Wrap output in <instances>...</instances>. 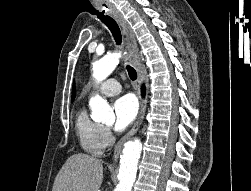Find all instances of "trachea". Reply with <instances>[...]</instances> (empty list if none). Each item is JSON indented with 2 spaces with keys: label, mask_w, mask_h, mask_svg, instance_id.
<instances>
[{
  "label": "trachea",
  "mask_w": 251,
  "mask_h": 191,
  "mask_svg": "<svg viewBox=\"0 0 251 191\" xmlns=\"http://www.w3.org/2000/svg\"><path fill=\"white\" fill-rule=\"evenodd\" d=\"M98 18L109 28V30L111 31L114 37L116 44L120 46L122 42V35L120 32V28L115 22V20H113V18L109 17L108 15H98ZM126 69H127L130 79L133 81L136 80L137 79L136 70L132 66H126Z\"/></svg>",
  "instance_id": "3493384b"
}]
</instances>
